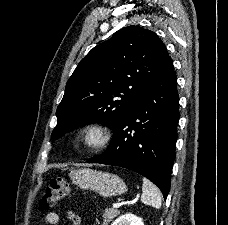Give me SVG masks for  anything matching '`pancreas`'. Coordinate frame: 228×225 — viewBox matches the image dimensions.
Returning <instances> with one entry per match:
<instances>
[{
	"mask_svg": "<svg viewBox=\"0 0 228 225\" xmlns=\"http://www.w3.org/2000/svg\"><path fill=\"white\" fill-rule=\"evenodd\" d=\"M117 215H120V211L118 209H105V213L103 215V225H109L112 219H115Z\"/></svg>",
	"mask_w": 228,
	"mask_h": 225,
	"instance_id": "obj_1",
	"label": "pancreas"
}]
</instances>
